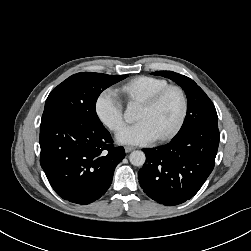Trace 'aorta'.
<instances>
[{"label": "aorta", "mask_w": 251, "mask_h": 251, "mask_svg": "<svg viewBox=\"0 0 251 251\" xmlns=\"http://www.w3.org/2000/svg\"><path fill=\"white\" fill-rule=\"evenodd\" d=\"M134 107L129 104L126 109L128 115H132ZM130 163L134 166H142L145 163L146 156L143 151H133L129 156Z\"/></svg>", "instance_id": "obj_1"}]
</instances>
